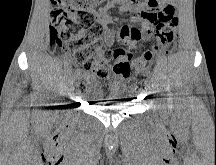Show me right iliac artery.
Wrapping results in <instances>:
<instances>
[{
    "mask_svg": "<svg viewBox=\"0 0 216 165\" xmlns=\"http://www.w3.org/2000/svg\"><path fill=\"white\" fill-rule=\"evenodd\" d=\"M78 76H79V72L77 71V72H75V75L71 76L70 80L73 82L76 79V77H78Z\"/></svg>",
    "mask_w": 216,
    "mask_h": 165,
    "instance_id": "obj_1",
    "label": "right iliac artery"
}]
</instances>
